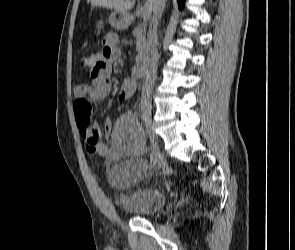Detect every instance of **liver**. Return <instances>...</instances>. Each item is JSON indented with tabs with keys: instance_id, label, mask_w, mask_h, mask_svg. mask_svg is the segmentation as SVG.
Listing matches in <instances>:
<instances>
[{
	"instance_id": "liver-1",
	"label": "liver",
	"mask_w": 295,
	"mask_h": 250,
	"mask_svg": "<svg viewBox=\"0 0 295 250\" xmlns=\"http://www.w3.org/2000/svg\"><path fill=\"white\" fill-rule=\"evenodd\" d=\"M154 1L155 0H147L145 4L151 12L154 9ZM91 5L114 9L119 12H126L134 7V0H91Z\"/></svg>"
}]
</instances>
